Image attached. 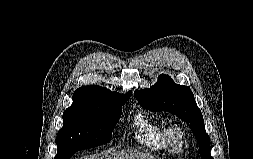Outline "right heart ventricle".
Here are the masks:
<instances>
[{
	"instance_id": "e07e8e85",
	"label": "right heart ventricle",
	"mask_w": 253,
	"mask_h": 159,
	"mask_svg": "<svg viewBox=\"0 0 253 159\" xmlns=\"http://www.w3.org/2000/svg\"><path fill=\"white\" fill-rule=\"evenodd\" d=\"M135 139L152 150L166 149L167 126L156 120H152L142 113L135 115L133 119Z\"/></svg>"
}]
</instances>
